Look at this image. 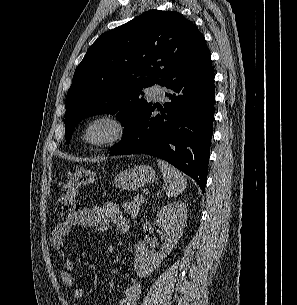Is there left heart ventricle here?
<instances>
[{
  "mask_svg": "<svg viewBox=\"0 0 297 305\" xmlns=\"http://www.w3.org/2000/svg\"><path fill=\"white\" fill-rule=\"evenodd\" d=\"M110 133V128L104 124H100V125H96L94 126L90 132H89V136L92 139L95 140H99V139H103L106 136H108Z\"/></svg>",
  "mask_w": 297,
  "mask_h": 305,
  "instance_id": "left-heart-ventricle-1",
  "label": "left heart ventricle"
}]
</instances>
